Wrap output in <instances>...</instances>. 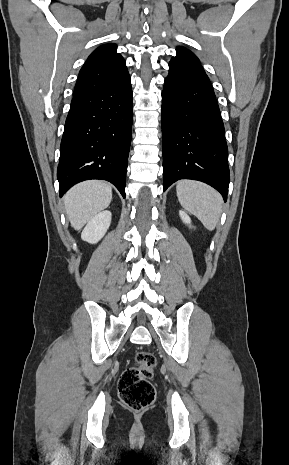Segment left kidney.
Here are the masks:
<instances>
[{"label":"left kidney","mask_w":289,"mask_h":465,"mask_svg":"<svg viewBox=\"0 0 289 465\" xmlns=\"http://www.w3.org/2000/svg\"><path fill=\"white\" fill-rule=\"evenodd\" d=\"M179 215L185 224L191 226V219L184 211H179Z\"/></svg>","instance_id":"1"}]
</instances>
